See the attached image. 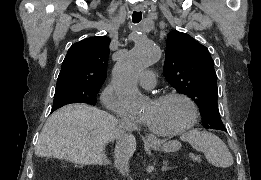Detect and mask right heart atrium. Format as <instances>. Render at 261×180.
<instances>
[{"instance_id": "obj_1", "label": "right heart atrium", "mask_w": 261, "mask_h": 180, "mask_svg": "<svg viewBox=\"0 0 261 180\" xmlns=\"http://www.w3.org/2000/svg\"><path fill=\"white\" fill-rule=\"evenodd\" d=\"M101 102L104 108H112V112H116L118 117H124V120H129V125L124 127H133V123L124 109V105H120V101L116 98L115 89L112 84L107 85L101 93Z\"/></svg>"}]
</instances>
